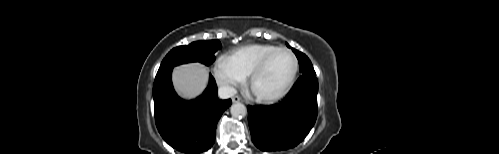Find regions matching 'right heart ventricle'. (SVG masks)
Masks as SVG:
<instances>
[{
    "mask_svg": "<svg viewBox=\"0 0 499 154\" xmlns=\"http://www.w3.org/2000/svg\"><path fill=\"white\" fill-rule=\"evenodd\" d=\"M277 48L270 44L246 45L233 50L228 58L244 77H248L261 60Z\"/></svg>",
    "mask_w": 499,
    "mask_h": 154,
    "instance_id": "e07e8e85",
    "label": "right heart ventricle"
}]
</instances>
